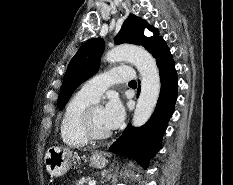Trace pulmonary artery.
Returning a JSON list of instances; mask_svg holds the SVG:
<instances>
[{"mask_svg": "<svg viewBox=\"0 0 233 185\" xmlns=\"http://www.w3.org/2000/svg\"><path fill=\"white\" fill-rule=\"evenodd\" d=\"M133 77L131 68L114 67L85 82L79 92L91 100L97 101L108 87L115 83L130 81Z\"/></svg>", "mask_w": 233, "mask_h": 185, "instance_id": "1", "label": "pulmonary artery"}]
</instances>
